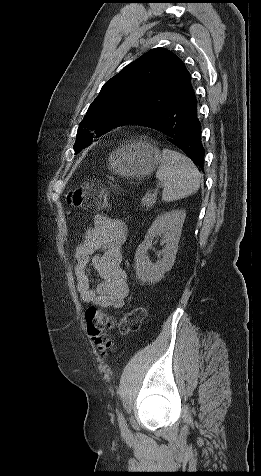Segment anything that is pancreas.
I'll return each instance as SVG.
<instances>
[{
    "mask_svg": "<svg viewBox=\"0 0 261 476\" xmlns=\"http://www.w3.org/2000/svg\"><path fill=\"white\" fill-rule=\"evenodd\" d=\"M155 203V198L153 197L152 194L147 193L141 201V204L143 207L146 208V210L150 209Z\"/></svg>",
    "mask_w": 261,
    "mask_h": 476,
    "instance_id": "1",
    "label": "pancreas"
}]
</instances>
